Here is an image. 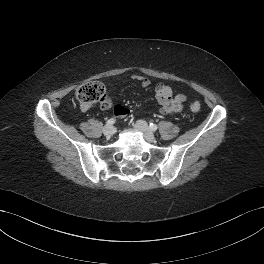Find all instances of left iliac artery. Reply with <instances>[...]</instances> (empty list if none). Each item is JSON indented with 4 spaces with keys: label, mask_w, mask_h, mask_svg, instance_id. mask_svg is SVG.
<instances>
[{
    "label": "left iliac artery",
    "mask_w": 264,
    "mask_h": 264,
    "mask_svg": "<svg viewBox=\"0 0 264 264\" xmlns=\"http://www.w3.org/2000/svg\"><path fill=\"white\" fill-rule=\"evenodd\" d=\"M149 128H150V130H152V131H156L157 128H158V126H157L156 124H154V123H150Z\"/></svg>",
    "instance_id": "obj_1"
}]
</instances>
